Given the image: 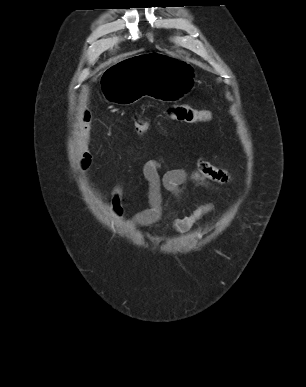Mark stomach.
I'll use <instances>...</instances> for the list:
<instances>
[{
    "instance_id": "obj_1",
    "label": "stomach",
    "mask_w": 306,
    "mask_h": 387,
    "mask_svg": "<svg viewBox=\"0 0 306 387\" xmlns=\"http://www.w3.org/2000/svg\"><path fill=\"white\" fill-rule=\"evenodd\" d=\"M141 50L140 55L101 71L104 98L118 105L134 104L140 95L164 99L165 104L182 99L195 81L192 65L161 53V46H142Z\"/></svg>"
}]
</instances>
